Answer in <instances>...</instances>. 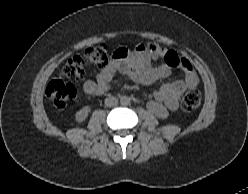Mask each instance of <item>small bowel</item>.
Returning <instances> with one entry per match:
<instances>
[{"instance_id": "c3829d8e", "label": "small bowel", "mask_w": 248, "mask_h": 194, "mask_svg": "<svg viewBox=\"0 0 248 194\" xmlns=\"http://www.w3.org/2000/svg\"><path fill=\"white\" fill-rule=\"evenodd\" d=\"M167 51L156 46L149 49L141 46L137 50L126 47L118 48L110 62L97 74L96 80H87L83 90L89 95H99L108 90L115 74L119 73L124 78L142 85H152L158 80L170 75L173 66L166 62L159 66H152L154 57H163ZM176 65L184 73L183 80L163 84L155 93V102L152 107L158 109V103L163 104L168 110H176L182 94L198 85V77L190 62L176 54Z\"/></svg>"}]
</instances>
